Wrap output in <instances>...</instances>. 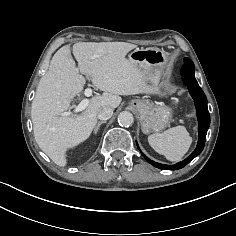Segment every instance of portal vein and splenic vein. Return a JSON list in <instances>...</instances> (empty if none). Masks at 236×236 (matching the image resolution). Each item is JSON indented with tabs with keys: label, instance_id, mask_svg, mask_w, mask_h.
<instances>
[{
	"label": "portal vein and splenic vein",
	"instance_id": "18ae733b",
	"mask_svg": "<svg viewBox=\"0 0 236 236\" xmlns=\"http://www.w3.org/2000/svg\"><path fill=\"white\" fill-rule=\"evenodd\" d=\"M84 94L86 97H90L92 95V89L91 88H86L85 91H84ZM89 105V100L88 99H84L82 100L76 107L75 109L73 110V112L75 114L85 110L87 108V106ZM67 115H70L71 112H67L66 113Z\"/></svg>",
	"mask_w": 236,
	"mask_h": 236
}]
</instances>
